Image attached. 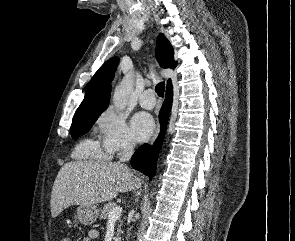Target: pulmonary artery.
<instances>
[{
  "instance_id": "e3ab8cb5",
  "label": "pulmonary artery",
  "mask_w": 295,
  "mask_h": 241,
  "mask_svg": "<svg viewBox=\"0 0 295 241\" xmlns=\"http://www.w3.org/2000/svg\"><path fill=\"white\" fill-rule=\"evenodd\" d=\"M139 104L145 109L154 108L156 104L154 92L150 89L144 91L139 97Z\"/></svg>"
}]
</instances>
